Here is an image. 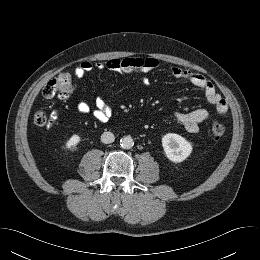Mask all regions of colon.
<instances>
[{"label":"colon","mask_w":260,"mask_h":260,"mask_svg":"<svg viewBox=\"0 0 260 260\" xmlns=\"http://www.w3.org/2000/svg\"><path fill=\"white\" fill-rule=\"evenodd\" d=\"M73 91L71 77L68 73L62 72L52 78L44 87L43 95L46 98H68ZM55 119V115L47 111H38L34 115V122L39 127L50 126ZM210 132L213 138L220 139L225 134L224 125L218 120H213L210 125Z\"/></svg>","instance_id":"colon-1"}]
</instances>
